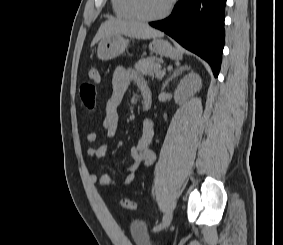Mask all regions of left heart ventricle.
I'll return each instance as SVG.
<instances>
[{"label": "left heart ventricle", "mask_w": 283, "mask_h": 245, "mask_svg": "<svg viewBox=\"0 0 283 245\" xmlns=\"http://www.w3.org/2000/svg\"><path fill=\"white\" fill-rule=\"evenodd\" d=\"M169 0H138L140 11L147 16L161 13L167 6Z\"/></svg>", "instance_id": "1"}]
</instances>
